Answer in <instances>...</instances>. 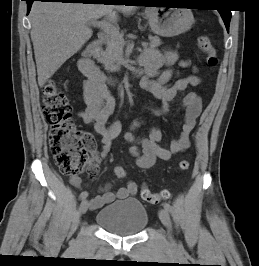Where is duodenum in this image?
Listing matches in <instances>:
<instances>
[{
	"label": "duodenum",
	"instance_id": "obj_1",
	"mask_svg": "<svg viewBox=\"0 0 259 266\" xmlns=\"http://www.w3.org/2000/svg\"><path fill=\"white\" fill-rule=\"evenodd\" d=\"M107 41V34L104 32L99 33L98 38L89 44L87 48L84 50L82 55L81 67L83 72L86 74L89 80L97 82L99 84H104L106 81V77L99 69L96 64V57L99 54L102 45ZM140 67H143V62L139 60ZM141 75V69H139L135 76L139 77ZM112 82L118 83L122 82V79L115 78L110 79Z\"/></svg>",
	"mask_w": 259,
	"mask_h": 266
}]
</instances>
